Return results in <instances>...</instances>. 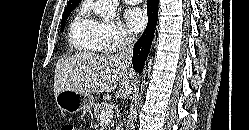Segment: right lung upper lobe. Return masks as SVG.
<instances>
[{
	"label": "right lung upper lobe",
	"instance_id": "obj_1",
	"mask_svg": "<svg viewBox=\"0 0 249 130\" xmlns=\"http://www.w3.org/2000/svg\"><path fill=\"white\" fill-rule=\"evenodd\" d=\"M80 0H69L67 5H70V4H75V3H78L79 4Z\"/></svg>",
	"mask_w": 249,
	"mask_h": 130
}]
</instances>
